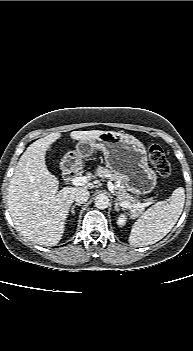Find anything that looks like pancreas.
I'll return each instance as SVG.
<instances>
[{
	"label": "pancreas",
	"mask_w": 193,
	"mask_h": 351,
	"mask_svg": "<svg viewBox=\"0 0 193 351\" xmlns=\"http://www.w3.org/2000/svg\"><path fill=\"white\" fill-rule=\"evenodd\" d=\"M96 175L100 178H110L115 184V195L118 200L121 202H125L128 204H140L139 199L133 195L127 193V186L124 177L116 172H112L111 170L99 166L96 170ZM138 212H141L143 208H136Z\"/></svg>",
	"instance_id": "cf45deb5"
}]
</instances>
